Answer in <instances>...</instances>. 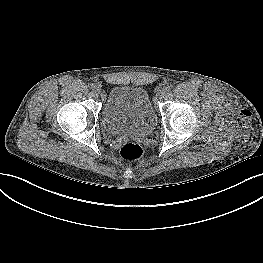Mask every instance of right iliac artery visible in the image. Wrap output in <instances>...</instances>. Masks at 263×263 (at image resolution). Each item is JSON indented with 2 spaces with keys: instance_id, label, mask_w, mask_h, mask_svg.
<instances>
[{
  "instance_id": "right-iliac-artery-1",
  "label": "right iliac artery",
  "mask_w": 263,
  "mask_h": 263,
  "mask_svg": "<svg viewBox=\"0 0 263 263\" xmlns=\"http://www.w3.org/2000/svg\"><path fill=\"white\" fill-rule=\"evenodd\" d=\"M92 89H97V84H92Z\"/></svg>"
}]
</instances>
